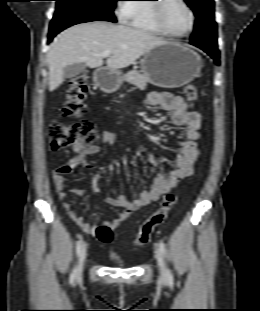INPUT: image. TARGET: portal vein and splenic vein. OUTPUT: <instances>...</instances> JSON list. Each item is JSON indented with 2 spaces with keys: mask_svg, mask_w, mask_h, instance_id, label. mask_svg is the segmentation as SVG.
<instances>
[{
  "mask_svg": "<svg viewBox=\"0 0 260 311\" xmlns=\"http://www.w3.org/2000/svg\"><path fill=\"white\" fill-rule=\"evenodd\" d=\"M98 56L105 58V57H109L110 53L109 52H102V53L98 54Z\"/></svg>",
  "mask_w": 260,
  "mask_h": 311,
  "instance_id": "1",
  "label": "portal vein and splenic vein"
}]
</instances>
